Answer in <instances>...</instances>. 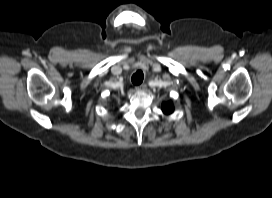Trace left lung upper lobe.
Segmentation results:
<instances>
[{
  "instance_id": "1",
  "label": "left lung upper lobe",
  "mask_w": 272,
  "mask_h": 198,
  "mask_svg": "<svg viewBox=\"0 0 272 198\" xmlns=\"http://www.w3.org/2000/svg\"><path fill=\"white\" fill-rule=\"evenodd\" d=\"M162 110L165 114H170L173 112V106L171 103H164L162 106Z\"/></svg>"
}]
</instances>
